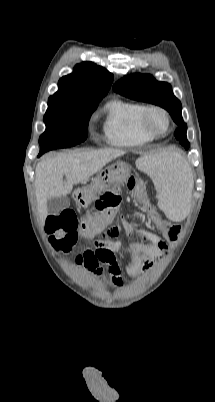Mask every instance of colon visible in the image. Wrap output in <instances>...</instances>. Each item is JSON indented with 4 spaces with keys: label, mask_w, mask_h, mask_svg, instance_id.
<instances>
[{
    "label": "colon",
    "mask_w": 215,
    "mask_h": 402,
    "mask_svg": "<svg viewBox=\"0 0 215 402\" xmlns=\"http://www.w3.org/2000/svg\"><path fill=\"white\" fill-rule=\"evenodd\" d=\"M127 188L134 193L137 199L144 200L145 183L142 179L133 174L130 175L127 181ZM120 205L121 194L119 190H110L100 195L95 202V212L86 214L81 222V235L85 238H90L112 225L117 218ZM143 207L155 221L164 241L169 246H178L179 239L182 237L180 230L183 225L181 223L175 225L161 220L147 202L143 203ZM46 228L49 234V241L57 250L68 252L77 243L78 220L70 210L63 211L59 215L48 216Z\"/></svg>",
    "instance_id": "1"
}]
</instances>
